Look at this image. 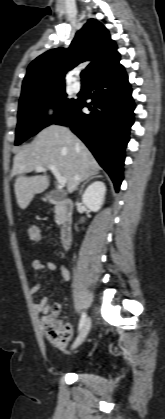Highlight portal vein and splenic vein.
<instances>
[{"label":"portal vein and splenic vein","instance_id":"portal-vein-and-splenic-vein-1","mask_svg":"<svg viewBox=\"0 0 165 419\" xmlns=\"http://www.w3.org/2000/svg\"><path fill=\"white\" fill-rule=\"evenodd\" d=\"M48 168L51 170V172L53 173V175L55 176L58 184L64 186L66 184V178L63 177L59 171L57 170V168L53 165H49ZM37 172H41L44 170L43 166H37L35 169Z\"/></svg>","mask_w":165,"mask_h":419}]
</instances>
